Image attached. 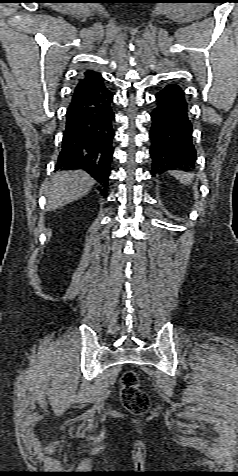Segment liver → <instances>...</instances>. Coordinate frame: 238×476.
Returning a JSON list of instances; mask_svg holds the SVG:
<instances>
[{"instance_id": "6515ba94", "label": "liver", "mask_w": 238, "mask_h": 476, "mask_svg": "<svg viewBox=\"0 0 238 476\" xmlns=\"http://www.w3.org/2000/svg\"><path fill=\"white\" fill-rule=\"evenodd\" d=\"M95 180L81 170L61 171L53 175L47 192L48 211L61 208L87 194Z\"/></svg>"}]
</instances>
